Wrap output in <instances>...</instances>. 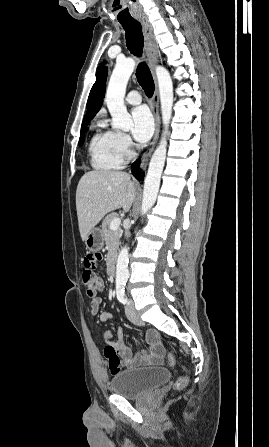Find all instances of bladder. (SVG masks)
<instances>
[{
    "mask_svg": "<svg viewBox=\"0 0 269 447\" xmlns=\"http://www.w3.org/2000/svg\"><path fill=\"white\" fill-rule=\"evenodd\" d=\"M171 378L168 368L146 367L114 372L110 381L112 394L123 398L145 396Z\"/></svg>",
    "mask_w": 269,
    "mask_h": 447,
    "instance_id": "31cf9c89",
    "label": "bladder"
}]
</instances>
